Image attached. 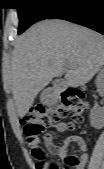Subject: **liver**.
Instances as JSON below:
<instances>
[{
  "mask_svg": "<svg viewBox=\"0 0 104 169\" xmlns=\"http://www.w3.org/2000/svg\"><path fill=\"white\" fill-rule=\"evenodd\" d=\"M104 64V37L65 20L41 21L22 34L4 73V86L13 94L17 115L24 117L36 95L62 74L66 83H88Z\"/></svg>",
  "mask_w": 104,
  "mask_h": 169,
  "instance_id": "liver-1",
  "label": "liver"
}]
</instances>
